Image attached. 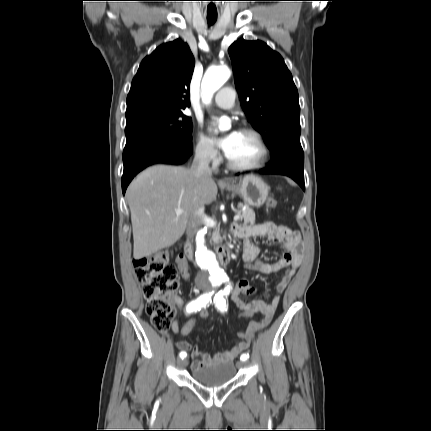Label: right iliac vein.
<instances>
[{
	"mask_svg": "<svg viewBox=\"0 0 431 431\" xmlns=\"http://www.w3.org/2000/svg\"><path fill=\"white\" fill-rule=\"evenodd\" d=\"M178 365L180 366V367H183V366H186L187 365V360L186 359H182V360H179L178 361Z\"/></svg>",
	"mask_w": 431,
	"mask_h": 431,
	"instance_id": "obj_1",
	"label": "right iliac vein"
}]
</instances>
